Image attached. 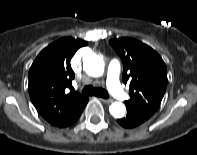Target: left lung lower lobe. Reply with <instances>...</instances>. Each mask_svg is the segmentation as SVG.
<instances>
[{
    "mask_svg": "<svg viewBox=\"0 0 197 155\" xmlns=\"http://www.w3.org/2000/svg\"><path fill=\"white\" fill-rule=\"evenodd\" d=\"M146 120L147 119H145L143 116L130 109H127V116L122 119H118L117 122L125 128H133L142 124Z\"/></svg>",
    "mask_w": 197,
    "mask_h": 155,
    "instance_id": "0a47b994",
    "label": "left lung lower lobe"
}]
</instances>
